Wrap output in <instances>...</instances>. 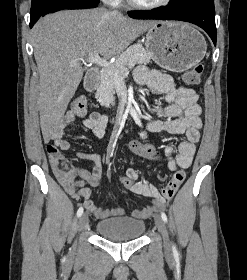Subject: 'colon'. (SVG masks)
<instances>
[{
	"mask_svg": "<svg viewBox=\"0 0 247 280\" xmlns=\"http://www.w3.org/2000/svg\"><path fill=\"white\" fill-rule=\"evenodd\" d=\"M203 72L202 65H196L187 70L183 75V80L188 85H196L200 82L201 75ZM71 111L74 115L83 116L87 112V102L84 98H76L71 104ZM129 150L143 158L157 160L158 150L153 143H148L146 139H140L138 136H131L128 144ZM47 153L53 172L58 178L70 179L74 175L75 168L67 160L64 154L54 145L47 146ZM186 174L183 170H177L163 188L162 193L166 199L174 197L181 184L185 180ZM118 183L124 188H131L133 181L127 176H120Z\"/></svg>",
	"mask_w": 247,
	"mask_h": 280,
	"instance_id": "colon-1",
	"label": "colon"
}]
</instances>
